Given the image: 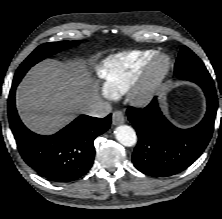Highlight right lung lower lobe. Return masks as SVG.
<instances>
[{
  "label": "right lung lower lobe",
  "instance_id": "1",
  "mask_svg": "<svg viewBox=\"0 0 222 219\" xmlns=\"http://www.w3.org/2000/svg\"><path fill=\"white\" fill-rule=\"evenodd\" d=\"M17 85L13 81L8 116L24 161L40 176L53 182H70L86 174L94 161V139L110 128L111 114L102 119L81 115L56 134L38 135L27 129L17 114Z\"/></svg>",
  "mask_w": 222,
  "mask_h": 219
}]
</instances>
